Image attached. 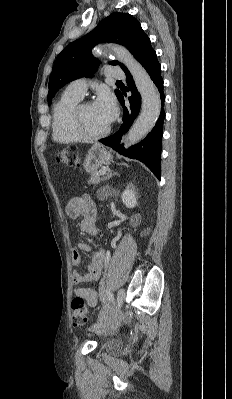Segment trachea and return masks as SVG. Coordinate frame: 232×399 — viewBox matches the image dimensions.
<instances>
[{"label":"trachea","mask_w":232,"mask_h":399,"mask_svg":"<svg viewBox=\"0 0 232 399\" xmlns=\"http://www.w3.org/2000/svg\"><path fill=\"white\" fill-rule=\"evenodd\" d=\"M117 82H121V80H117Z\"/></svg>","instance_id":"3493384b"}]
</instances>
